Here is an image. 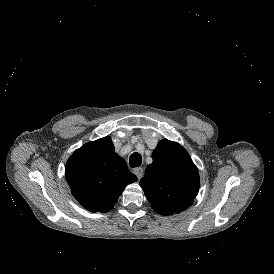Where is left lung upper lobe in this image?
<instances>
[{
    "mask_svg": "<svg viewBox=\"0 0 274 274\" xmlns=\"http://www.w3.org/2000/svg\"><path fill=\"white\" fill-rule=\"evenodd\" d=\"M140 186L152 208L164 215L192 205L199 191V174L187 151L176 142L162 140L152 154Z\"/></svg>",
    "mask_w": 274,
    "mask_h": 274,
    "instance_id": "left-lung-upper-lobe-1",
    "label": "left lung upper lobe"
}]
</instances>
